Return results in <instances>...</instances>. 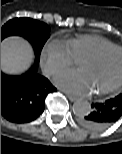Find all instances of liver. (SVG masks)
<instances>
[{
	"mask_svg": "<svg viewBox=\"0 0 122 154\" xmlns=\"http://www.w3.org/2000/svg\"><path fill=\"white\" fill-rule=\"evenodd\" d=\"M34 59L31 45L23 38L13 36L1 43V70L20 74L29 69Z\"/></svg>",
	"mask_w": 122,
	"mask_h": 154,
	"instance_id": "1",
	"label": "liver"
}]
</instances>
